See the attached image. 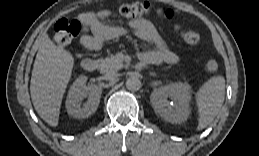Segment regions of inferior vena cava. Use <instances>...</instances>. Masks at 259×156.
<instances>
[{
    "instance_id": "602c4592",
    "label": "inferior vena cava",
    "mask_w": 259,
    "mask_h": 156,
    "mask_svg": "<svg viewBox=\"0 0 259 156\" xmlns=\"http://www.w3.org/2000/svg\"><path fill=\"white\" fill-rule=\"evenodd\" d=\"M119 77V75L115 72H112V73H107L105 76H104V79L106 80H112V81H115L117 80Z\"/></svg>"
}]
</instances>
